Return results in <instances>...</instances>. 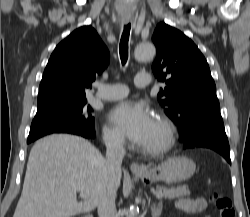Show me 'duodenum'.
Instances as JSON below:
<instances>
[{
    "label": "duodenum",
    "mask_w": 250,
    "mask_h": 217,
    "mask_svg": "<svg viewBox=\"0 0 250 217\" xmlns=\"http://www.w3.org/2000/svg\"><path fill=\"white\" fill-rule=\"evenodd\" d=\"M84 217H93V216H91V215H86V216H84Z\"/></svg>",
    "instance_id": "1"
}]
</instances>
